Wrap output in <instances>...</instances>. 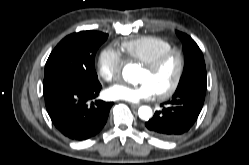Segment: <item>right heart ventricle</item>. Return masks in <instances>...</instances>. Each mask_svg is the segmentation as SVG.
<instances>
[{"label": "right heart ventricle", "mask_w": 249, "mask_h": 165, "mask_svg": "<svg viewBox=\"0 0 249 165\" xmlns=\"http://www.w3.org/2000/svg\"><path fill=\"white\" fill-rule=\"evenodd\" d=\"M121 47L131 61L148 63L173 48L172 44L157 36H142L122 42Z\"/></svg>", "instance_id": "right-heart-ventricle-1"}]
</instances>
